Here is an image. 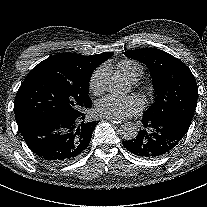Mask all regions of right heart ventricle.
Returning a JSON list of instances; mask_svg holds the SVG:
<instances>
[{
  "instance_id": "obj_1",
  "label": "right heart ventricle",
  "mask_w": 207,
  "mask_h": 207,
  "mask_svg": "<svg viewBox=\"0 0 207 207\" xmlns=\"http://www.w3.org/2000/svg\"><path fill=\"white\" fill-rule=\"evenodd\" d=\"M118 66L125 76L132 81H136L143 73L142 67L130 60L121 61Z\"/></svg>"
}]
</instances>
